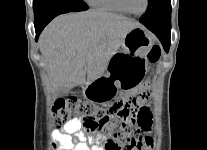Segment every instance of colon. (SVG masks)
<instances>
[{
    "instance_id": "obj_1",
    "label": "colon",
    "mask_w": 207,
    "mask_h": 150,
    "mask_svg": "<svg viewBox=\"0 0 207 150\" xmlns=\"http://www.w3.org/2000/svg\"><path fill=\"white\" fill-rule=\"evenodd\" d=\"M160 57L161 48L153 46L148 60L155 63ZM146 98L145 92H138L102 105L69 96L58 100L53 107V123L61 126L72 119L81 120L87 132L104 134V150H150L151 139L144 132H152L154 112L152 106H146Z\"/></svg>"
}]
</instances>
